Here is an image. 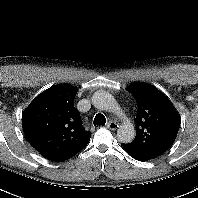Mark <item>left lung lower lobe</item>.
<instances>
[{
	"label": "left lung lower lobe",
	"instance_id": "left-lung-lower-lobe-1",
	"mask_svg": "<svg viewBox=\"0 0 198 198\" xmlns=\"http://www.w3.org/2000/svg\"><path fill=\"white\" fill-rule=\"evenodd\" d=\"M123 148L126 150V152L134 159L139 161H148L157 158L158 154L143 152L137 149H134L132 147L127 146L126 144H123Z\"/></svg>",
	"mask_w": 198,
	"mask_h": 198
}]
</instances>
